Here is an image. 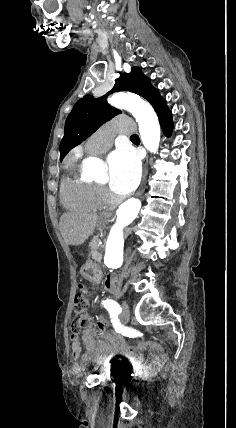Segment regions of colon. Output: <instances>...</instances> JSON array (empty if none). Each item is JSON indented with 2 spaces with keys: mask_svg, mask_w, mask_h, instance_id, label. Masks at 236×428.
<instances>
[{
  "mask_svg": "<svg viewBox=\"0 0 236 428\" xmlns=\"http://www.w3.org/2000/svg\"><path fill=\"white\" fill-rule=\"evenodd\" d=\"M88 296H89L88 287L84 284H80L78 292L75 295L74 306H73L74 313H75V318L73 320L72 327H71V334L73 335L79 334L81 329L83 328V325H84L83 313L88 306ZM97 324L100 327H105L108 324V322L106 318L99 317L97 320Z\"/></svg>",
  "mask_w": 236,
  "mask_h": 428,
  "instance_id": "obj_1",
  "label": "colon"
}]
</instances>
